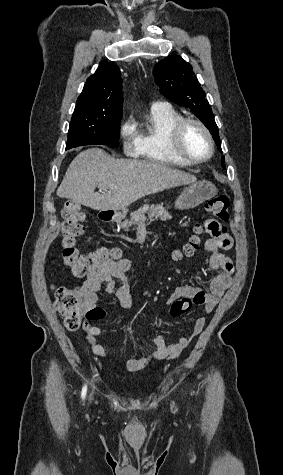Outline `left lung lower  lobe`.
<instances>
[{
    "label": "left lung lower lobe",
    "instance_id": "0a47b994",
    "mask_svg": "<svg viewBox=\"0 0 283 475\" xmlns=\"http://www.w3.org/2000/svg\"><path fill=\"white\" fill-rule=\"evenodd\" d=\"M218 148H219V150L222 152L221 147H218ZM221 164H222V166L225 168L224 157H222V162H221Z\"/></svg>",
    "mask_w": 283,
    "mask_h": 475
}]
</instances>
